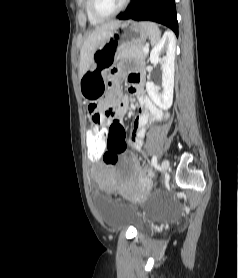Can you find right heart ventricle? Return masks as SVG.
I'll return each mask as SVG.
<instances>
[{
	"label": "right heart ventricle",
	"mask_w": 238,
	"mask_h": 278,
	"mask_svg": "<svg viewBox=\"0 0 238 278\" xmlns=\"http://www.w3.org/2000/svg\"><path fill=\"white\" fill-rule=\"evenodd\" d=\"M85 10H86V14H87V18L90 24L92 25H97L99 24L101 21L97 20L96 18H94L90 12V0H85Z\"/></svg>",
	"instance_id": "right-heart-ventricle-1"
}]
</instances>
